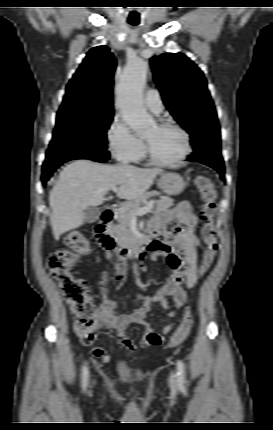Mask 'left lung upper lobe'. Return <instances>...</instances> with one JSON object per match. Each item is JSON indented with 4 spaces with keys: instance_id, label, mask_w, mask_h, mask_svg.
<instances>
[{
    "instance_id": "left-lung-upper-lobe-1",
    "label": "left lung upper lobe",
    "mask_w": 273,
    "mask_h": 430,
    "mask_svg": "<svg viewBox=\"0 0 273 430\" xmlns=\"http://www.w3.org/2000/svg\"><path fill=\"white\" fill-rule=\"evenodd\" d=\"M154 79L176 121L190 134L191 145L221 142L217 113L203 72L187 56L166 53L151 59Z\"/></svg>"
}]
</instances>
